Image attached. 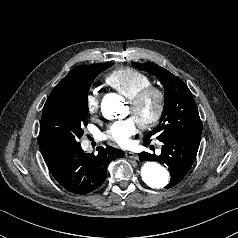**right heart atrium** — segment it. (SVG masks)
<instances>
[{
  "label": "right heart atrium",
  "instance_id": "obj_1",
  "mask_svg": "<svg viewBox=\"0 0 238 238\" xmlns=\"http://www.w3.org/2000/svg\"><path fill=\"white\" fill-rule=\"evenodd\" d=\"M100 100L96 90L90 91L86 96V109L90 115H95L99 111Z\"/></svg>",
  "mask_w": 238,
  "mask_h": 238
}]
</instances>
